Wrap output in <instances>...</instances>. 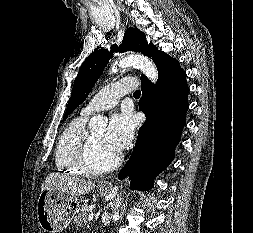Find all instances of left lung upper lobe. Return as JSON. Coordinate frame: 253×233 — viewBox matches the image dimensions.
Here are the masks:
<instances>
[{
    "label": "left lung upper lobe",
    "instance_id": "5c2ea615",
    "mask_svg": "<svg viewBox=\"0 0 253 233\" xmlns=\"http://www.w3.org/2000/svg\"><path fill=\"white\" fill-rule=\"evenodd\" d=\"M115 51L121 53L141 51L144 55L151 57L153 61L161 52L152 43H147L143 32L132 27L126 30L122 44L119 47L113 45L110 52L107 49L92 52L79 69L63 121L86 99Z\"/></svg>",
    "mask_w": 253,
    "mask_h": 233
}]
</instances>
